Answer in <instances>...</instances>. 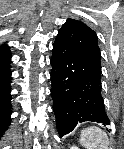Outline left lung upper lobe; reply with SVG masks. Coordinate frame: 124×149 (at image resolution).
I'll use <instances>...</instances> for the list:
<instances>
[{"label": "left lung upper lobe", "instance_id": "1", "mask_svg": "<svg viewBox=\"0 0 124 149\" xmlns=\"http://www.w3.org/2000/svg\"><path fill=\"white\" fill-rule=\"evenodd\" d=\"M68 43L101 68V54L96 33L85 23L67 19L58 32Z\"/></svg>", "mask_w": 124, "mask_h": 149}]
</instances>
